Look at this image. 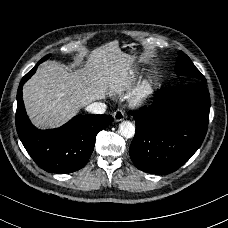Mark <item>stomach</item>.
Returning a JSON list of instances; mask_svg holds the SVG:
<instances>
[{
    "label": "stomach",
    "instance_id": "1",
    "mask_svg": "<svg viewBox=\"0 0 228 228\" xmlns=\"http://www.w3.org/2000/svg\"><path fill=\"white\" fill-rule=\"evenodd\" d=\"M129 53L132 55V56H136L137 55V51L135 48H130L129 49Z\"/></svg>",
    "mask_w": 228,
    "mask_h": 228
}]
</instances>
